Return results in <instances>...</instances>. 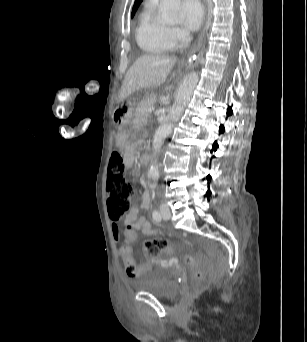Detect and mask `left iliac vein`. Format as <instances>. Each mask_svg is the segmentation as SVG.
Returning <instances> with one entry per match:
<instances>
[{
  "label": "left iliac vein",
  "instance_id": "left-iliac-vein-1",
  "mask_svg": "<svg viewBox=\"0 0 307 342\" xmlns=\"http://www.w3.org/2000/svg\"><path fill=\"white\" fill-rule=\"evenodd\" d=\"M160 212H161V216L163 219H170L171 217V211L170 209L168 208V206H161L160 207Z\"/></svg>",
  "mask_w": 307,
  "mask_h": 342
}]
</instances>
